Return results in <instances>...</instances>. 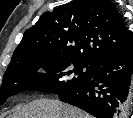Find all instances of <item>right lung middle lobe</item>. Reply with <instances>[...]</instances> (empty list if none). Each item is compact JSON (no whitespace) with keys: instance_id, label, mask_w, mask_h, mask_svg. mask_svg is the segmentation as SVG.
Returning a JSON list of instances; mask_svg holds the SVG:
<instances>
[{"instance_id":"obj_1","label":"right lung middle lobe","mask_w":133,"mask_h":118,"mask_svg":"<svg viewBox=\"0 0 133 118\" xmlns=\"http://www.w3.org/2000/svg\"><path fill=\"white\" fill-rule=\"evenodd\" d=\"M91 71L92 67L86 64L56 58L7 69L0 87V105L10 96L24 90L63 93L88 82Z\"/></svg>"}]
</instances>
